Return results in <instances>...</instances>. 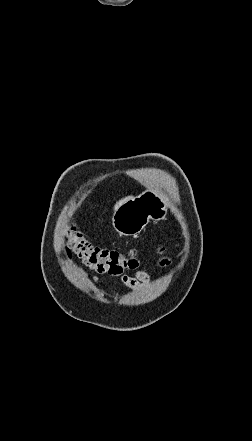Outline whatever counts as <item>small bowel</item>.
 I'll return each instance as SVG.
<instances>
[{
	"instance_id": "obj_1",
	"label": "small bowel",
	"mask_w": 252,
	"mask_h": 441,
	"mask_svg": "<svg viewBox=\"0 0 252 441\" xmlns=\"http://www.w3.org/2000/svg\"><path fill=\"white\" fill-rule=\"evenodd\" d=\"M81 273L89 278V281L92 284L98 283V278L96 276H91L89 273H87L85 270L81 269ZM148 275L143 271H138L134 276H128L123 275L121 276V282L128 288V289H135L147 282Z\"/></svg>"
}]
</instances>
